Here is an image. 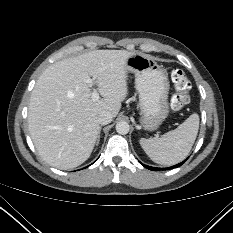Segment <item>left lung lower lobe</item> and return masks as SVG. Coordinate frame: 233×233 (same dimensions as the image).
<instances>
[{"instance_id":"1","label":"left lung lower lobe","mask_w":233,"mask_h":233,"mask_svg":"<svg viewBox=\"0 0 233 233\" xmlns=\"http://www.w3.org/2000/svg\"><path fill=\"white\" fill-rule=\"evenodd\" d=\"M183 163H184V161L181 162V163H179V164H177V165H175V166H173V168H174V167H179V166H181ZM143 166H145L146 168H148V169H150V170H153V171L160 170V168L150 167V166H147V165H143ZM170 168H172V167H169L168 169H170Z\"/></svg>"}]
</instances>
